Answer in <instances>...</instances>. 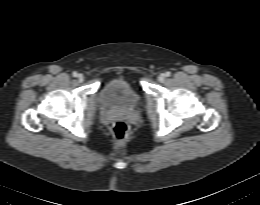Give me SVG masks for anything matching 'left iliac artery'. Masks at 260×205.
<instances>
[{
	"label": "left iliac artery",
	"mask_w": 260,
	"mask_h": 205,
	"mask_svg": "<svg viewBox=\"0 0 260 205\" xmlns=\"http://www.w3.org/2000/svg\"><path fill=\"white\" fill-rule=\"evenodd\" d=\"M170 75H171V73L169 71L165 73L166 77H169Z\"/></svg>",
	"instance_id": "left-iliac-artery-1"
}]
</instances>
